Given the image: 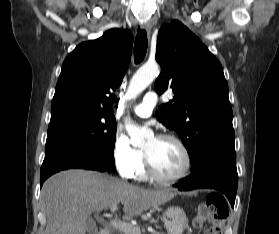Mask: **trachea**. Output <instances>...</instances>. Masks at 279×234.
I'll list each match as a JSON object with an SVG mask.
<instances>
[{"label": "trachea", "mask_w": 279, "mask_h": 234, "mask_svg": "<svg viewBox=\"0 0 279 234\" xmlns=\"http://www.w3.org/2000/svg\"><path fill=\"white\" fill-rule=\"evenodd\" d=\"M147 34L145 30H140L136 36L134 44V60L135 63H140L147 51Z\"/></svg>", "instance_id": "3493384b"}]
</instances>
